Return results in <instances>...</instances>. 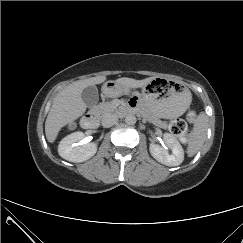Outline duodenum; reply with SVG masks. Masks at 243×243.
I'll use <instances>...</instances> for the list:
<instances>
[{"instance_id": "1", "label": "duodenum", "mask_w": 243, "mask_h": 243, "mask_svg": "<svg viewBox=\"0 0 243 243\" xmlns=\"http://www.w3.org/2000/svg\"><path fill=\"white\" fill-rule=\"evenodd\" d=\"M128 111V109H123L120 111V115H125ZM81 124L85 129H94L98 125L97 116L95 113L89 112L83 117Z\"/></svg>"}]
</instances>
